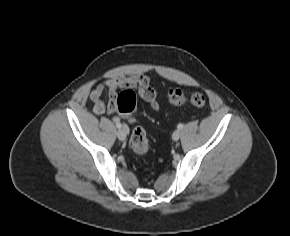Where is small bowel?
<instances>
[{"label": "small bowel", "instance_id": "obj_1", "mask_svg": "<svg viewBox=\"0 0 290 236\" xmlns=\"http://www.w3.org/2000/svg\"><path fill=\"white\" fill-rule=\"evenodd\" d=\"M121 88L136 90L140 97L147 102L153 110L159 109L157 90L150 85V78L146 75L136 74L105 80L93 89L90 94V99L93 102L94 113L103 115L106 112H115L117 90ZM105 92L109 95V102L107 105L102 98Z\"/></svg>", "mask_w": 290, "mask_h": 236}]
</instances>
